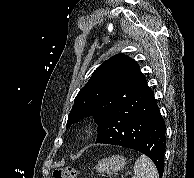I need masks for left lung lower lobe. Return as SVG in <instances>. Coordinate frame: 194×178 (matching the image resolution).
<instances>
[{
  "label": "left lung lower lobe",
  "mask_w": 194,
  "mask_h": 178,
  "mask_svg": "<svg viewBox=\"0 0 194 178\" xmlns=\"http://www.w3.org/2000/svg\"><path fill=\"white\" fill-rule=\"evenodd\" d=\"M166 126L151 88L128 97L99 124L95 143L119 145L137 150L164 171Z\"/></svg>",
  "instance_id": "1"
}]
</instances>
